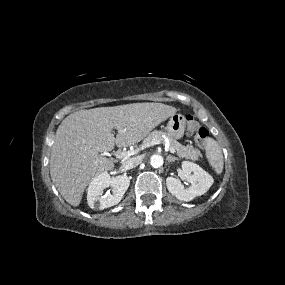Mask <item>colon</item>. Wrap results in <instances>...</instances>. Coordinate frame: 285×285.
<instances>
[{"label":"colon","instance_id":"obj_1","mask_svg":"<svg viewBox=\"0 0 285 285\" xmlns=\"http://www.w3.org/2000/svg\"><path fill=\"white\" fill-rule=\"evenodd\" d=\"M187 121V130L186 133L188 136L194 137L196 143L202 147L206 148L209 143V132L208 130L201 126L192 115L186 116Z\"/></svg>","mask_w":285,"mask_h":285}]
</instances>
